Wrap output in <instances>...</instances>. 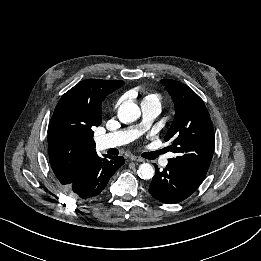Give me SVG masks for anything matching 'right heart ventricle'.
Instances as JSON below:
<instances>
[{
    "label": "right heart ventricle",
    "instance_id": "1",
    "mask_svg": "<svg viewBox=\"0 0 261 261\" xmlns=\"http://www.w3.org/2000/svg\"><path fill=\"white\" fill-rule=\"evenodd\" d=\"M144 102L155 103V104H157L160 107V105H161V97L158 94H149V95H147L144 98L143 103Z\"/></svg>",
    "mask_w": 261,
    "mask_h": 261
}]
</instances>
